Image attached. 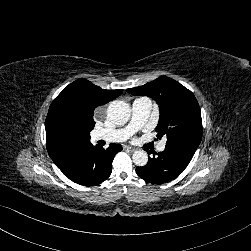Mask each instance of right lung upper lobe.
<instances>
[{"label": "right lung upper lobe", "instance_id": "cb5924a9", "mask_svg": "<svg viewBox=\"0 0 251 251\" xmlns=\"http://www.w3.org/2000/svg\"><path fill=\"white\" fill-rule=\"evenodd\" d=\"M122 91L102 89L83 78L63 89L51 103L46 117V147L54 163L91 145L94 109L117 98Z\"/></svg>", "mask_w": 251, "mask_h": 251}]
</instances>
